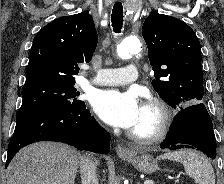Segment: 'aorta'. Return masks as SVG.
Returning <instances> with one entry per match:
<instances>
[{
  "mask_svg": "<svg viewBox=\"0 0 224 184\" xmlns=\"http://www.w3.org/2000/svg\"><path fill=\"white\" fill-rule=\"evenodd\" d=\"M141 49V42L138 38L128 37L122 40L120 44L117 45V54L123 59H130L134 54L139 52Z\"/></svg>",
  "mask_w": 224,
  "mask_h": 184,
  "instance_id": "1",
  "label": "aorta"
}]
</instances>
